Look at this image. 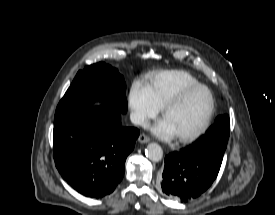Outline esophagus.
I'll return each instance as SVG.
<instances>
[{
  "mask_svg": "<svg viewBox=\"0 0 275 215\" xmlns=\"http://www.w3.org/2000/svg\"><path fill=\"white\" fill-rule=\"evenodd\" d=\"M138 141L140 143L145 144V143H148L150 141V138L146 134L142 133V134L139 135Z\"/></svg>",
  "mask_w": 275,
  "mask_h": 215,
  "instance_id": "obj_1",
  "label": "esophagus"
}]
</instances>
